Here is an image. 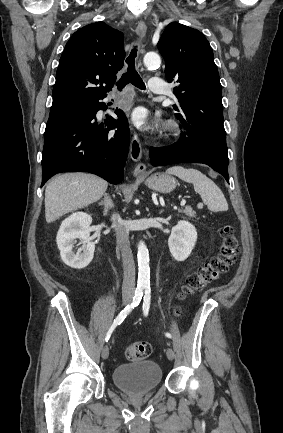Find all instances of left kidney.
<instances>
[{"instance_id": "obj_1", "label": "left kidney", "mask_w": 283, "mask_h": 433, "mask_svg": "<svg viewBox=\"0 0 283 433\" xmlns=\"http://www.w3.org/2000/svg\"><path fill=\"white\" fill-rule=\"evenodd\" d=\"M197 241L196 228L188 221L181 220L172 228L168 246L176 261L186 260Z\"/></svg>"}]
</instances>
